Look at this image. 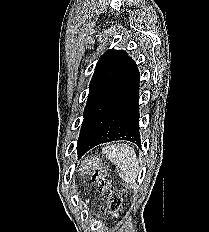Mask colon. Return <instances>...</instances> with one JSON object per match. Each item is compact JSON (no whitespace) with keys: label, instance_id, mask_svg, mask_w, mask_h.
Wrapping results in <instances>:
<instances>
[{"label":"colon","instance_id":"obj_1","mask_svg":"<svg viewBox=\"0 0 209 232\" xmlns=\"http://www.w3.org/2000/svg\"><path fill=\"white\" fill-rule=\"evenodd\" d=\"M88 172L92 182L97 186L101 194L107 199L112 213H118L121 207V197L111 186L109 176L105 173L100 161L90 159L88 162Z\"/></svg>","mask_w":209,"mask_h":232}]
</instances>
